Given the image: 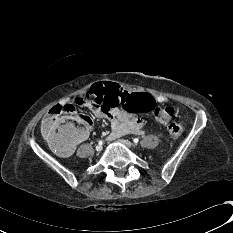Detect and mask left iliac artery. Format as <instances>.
Here are the masks:
<instances>
[{
    "mask_svg": "<svg viewBox=\"0 0 233 233\" xmlns=\"http://www.w3.org/2000/svg\"><path fill=\"white\" fill-rule=\"evenodd\" d=\"M133 142H134L135 144H137V143L139 142V139H138V138H134V139H133Z\"/></svg>",
    "mask_w": 233,
    "mask_h": 233,
    "instance_id": "44dca946",
    "label": "left iliac artery"
}]
</instances>
